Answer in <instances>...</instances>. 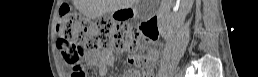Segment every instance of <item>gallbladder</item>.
Returning <instances> with one entry per match:
<instances>
[{
	"label": "gallbladder",
	"mask_w": 258,
	"mask_h": 77,
	"mask_svg": "<svg viewBox=\"0 0 258 77\" xmlns=\"http://www.w3.org/2000/svg\"><path fill=\"white\" fill-rule=\"evenodd\" d=\"M148 0H141L138 1L135 11L138 18H145L148 16V14H151L153 10L151 9Z\"/></svg>",
	"instance_id": "bac80fb5"
}]
</instances>
